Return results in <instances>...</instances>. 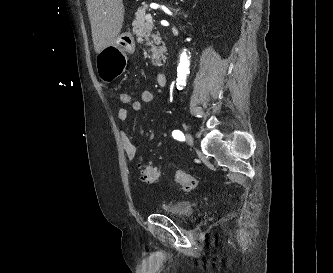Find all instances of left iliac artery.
I'll return each instance as SVG.
<instances>
[{
    "label": "left iliac artery",
    "mask_w": 333,
    "mask_h": 273,
    "mask_svg": "<svg viewBox=\"0 0 333 273\" xmlns=\"http://www.w3.org/2000/svg\"><path fill=\"white\" fill-rule=\"evenodd\" d=\"M172 136L174 137V139H177V140H180V141L185 140V136L180 130H174L172 132Z\"/></svg>",
    "instance_id": "left-iliac-artery-1"
}]
</instances>
